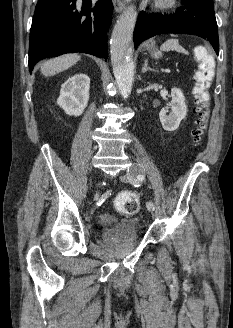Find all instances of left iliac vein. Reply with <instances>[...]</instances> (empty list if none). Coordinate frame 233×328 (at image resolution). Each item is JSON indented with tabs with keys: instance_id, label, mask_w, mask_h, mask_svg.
Wrapping results in <instances>:
<instances>
[{
	"instance_id": "left-iliac-vein-1",
	"label": "left iliac vein",
	"mask_w": 233,
	"mask_h": 328,
	"mask_svg": "<svg viewBox=\"0 0 233 328\" xmlns=\"http://www.w3.org/2000/svg\"><path fill=\"white\" fill-rule=\"evenodd\" d=\"M139 174V168L137 165H132V167L128 170V173L121 176V180L123 182H128L133 184L134 180L136 179V176ZM151 211L152 217H155L154 210L149 209Z\"/></svg>"
}]
</instances>
